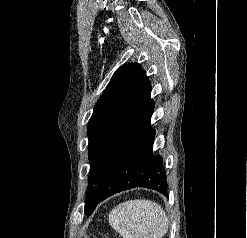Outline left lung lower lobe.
I'll return each instance as SVG.
<instances>
[{"label":"left lung lower lobe","instance_id":"1","mask_svg":"<svg viewBox=\"0 0 247 238\" xmlns=\"http://www.w3.org/2000/svg\"><path fill=\"white\" fill-rule=\"evenodd\" d=\"M153 110L154 106L105 171L97 204L115 193L135 187L150 188L168 196L162 158L153 156L155 130L150 126Z\"/></svg>","mask_w":247,"mask_h":238}]
</instances>
